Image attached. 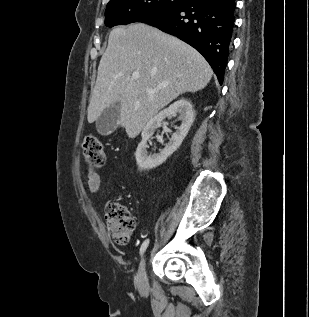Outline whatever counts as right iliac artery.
Returning a JSON list of instances; mask_svg holds the SVG:
<instances>
[{
	"mask_svg": "<svg viewBox=\"0 0 309 317\" xmlns=\"http://www.w3.org/2000/svg\"><path fill=\"white\" fill-rule=\"evenodd\" d=\"M148 244H149V239H146V240L142 243V245H141V247H140V255H142V254L145 252L146 248L148 247Z\"/></svg>",
	"mask_w": 309,
	"mask_h": 317,
	"instance_id": "obj_1",
	"label": "right iliac artery"
}]
</instances>
